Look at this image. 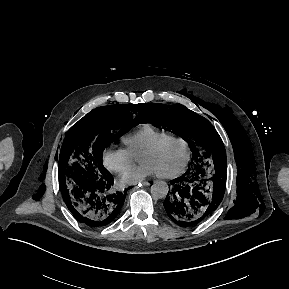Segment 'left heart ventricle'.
Instances as JSON below:
<instances>
[{
    "mask_svg": "<svg viewBox=\"0 0 289 289\" xmlns=\"http://www.w3.org/2000/svg\"><path fill=\"white\" fill-rule=\"evenodd\" d=\"M186 157V149L179 141H168L156 152L139 156L140 163H148L156 170L157 174L176 171L181 167Z\"/></svg>",
    "mask_w": 289,
    "mask_h": 289,
    "instance_id": "left-heart-ventricle-1",
    "label": "left heart ventricle"
}]
</instances>
